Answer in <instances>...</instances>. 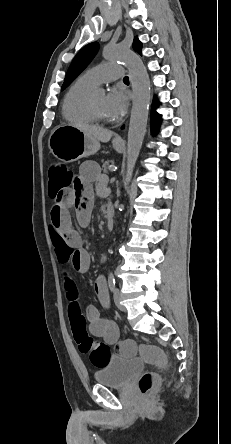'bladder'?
<instances>
[{
    "instance_id": "31cf9c89",
    "label": "bladder",
    "mask_w": 231,
    "mask_h": 444,
    "mask_svg": "<svg viewBox=\"0 0 231 444\" xmlns=\"http://www.w3.org/2000/svg\"><path fill=\"white\" fill-rule=\"evenodd\" d=\"M143 366V362L136 358L125 359L111 356L107 363L95 372L94 377L99 385L123 387L143 370Z\"/></svg>"
}]
</instances>
